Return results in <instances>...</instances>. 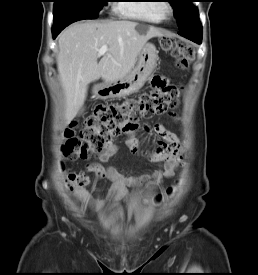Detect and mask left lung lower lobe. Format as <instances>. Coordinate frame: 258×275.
<instances>
[{"mask_svg": "<svg viewBox=\"0 0 258 275\" xmlns=\"http://www.w3.org/2000/svg\"><path fill=\"white\" fill-rule=\"evenodd\" d=\"M178 34L200 44L202 41V25L199 15H197L196 20L192 24L181 29Z\"/></svg>", "mask_w": 258, "mask_h": 275, "instance_id": "1", "label": "left lung lower lobe"}]
</instances>
